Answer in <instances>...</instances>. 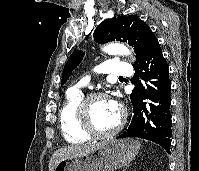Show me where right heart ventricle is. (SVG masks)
<instances>
[{
  "label": "right heart ventricle",
  "mask_w": 199,
  "mask_h": 171,
  "mask_svg": "<svg viewBox=\"0 0 199 171\" xmlns=\"http://www.w3.org/2000/svg\"><path fill=\"white\" fill-rule=\"evenodd\" d=\"M84 94L77 88L67 90L64 102L59 111V125L64 139L71 144H82L90 140L81 126L79 103Z\"/></svg>",
  "instance_id": "obj_1"
}]
</instances>
